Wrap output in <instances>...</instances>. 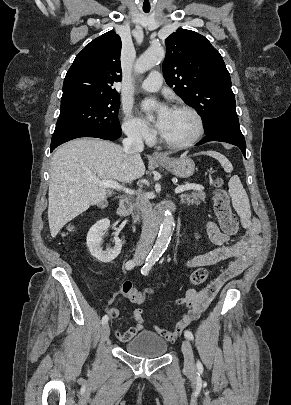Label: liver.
<instances>
[{
  "label": "liver",
  "instance_id": "obj_1",
  "mask_svg": "<svg viewBox=\"0 0 291 405\" xmlns=\"http://www.w3.org/2000/svg\"><path fill=\"white\" fill-rule=\"evenodd\" d=\"M144 173L140 154H126L115 143L80 138L60 146L51 158L48 206L51 236L56 237L65 224L111 195V189L98 186L92 178L126 184Z\"/></svg>",
  "mask_w": 291,
  "mask_h": 405
}]
</instances>
